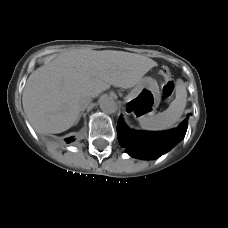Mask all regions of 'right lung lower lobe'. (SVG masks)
Instances as JSON below:
<instances>
[{
    "label": "right lung lower lobe",
    "mask_w": 228,
    "mask_h": 228,
    "mask_svg": "<svg viewBox=\"0 0 228 228\" xmlns=\"http://www.w3.org/2000/svg\"><path fill=\"white\" fill-rule=\"evenodd\" d=\"M65 141L67 143H70V142L74 141V139H73V137H69V138H66Z\"/></svg>",
    "instance_id": "right-lung-lower-lobe-1"
}]
</instances>
